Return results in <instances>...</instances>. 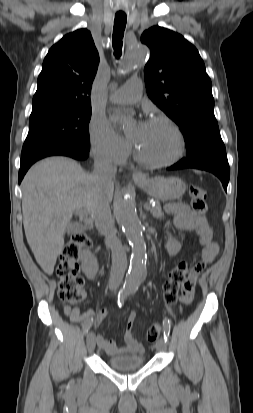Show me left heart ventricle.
I'll return each mask as SVG.
<instances>
[{"label": "left heart ventricle", "instance_id": "b2bd125f", "mask_svg": "<svg viewBox=\"0 0 253 413\" xmlns=\"http://www.w3.org/2000/svg\"><path fill=\"white\" fill-rule=\"evenodd\" d=\"M134 139L144 156L156 161L171 158L177 149V140L171 128L164 122H148L142 133Z\"/></svg>", "mask_w": 253, "mask_h": 413}]
</instances>
